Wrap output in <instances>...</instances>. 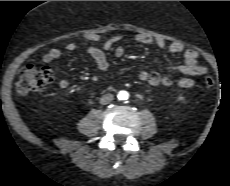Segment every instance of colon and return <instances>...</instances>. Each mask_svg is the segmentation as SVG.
<instances>
[{
	"instance_id": "obj_1",
	"label": "colon",
	"mask_w": 230,
	"mask_h": 186,
	"mask_svg": "<svg viewBox=\"0 0 230 186\" xmlns=\"http://www.w3.org/2000/svg\"><path fill=\"white\" fill-rule=\"evenodd\" d=\"M54 70L50 67H36L34 65L25 66L15 83V93L24 97L32 93L42 91L48 87L54 79ZM203 79L204 86L212 89L215 81L212 77L200 74Z\"/></svg>"
}]
</instances>
